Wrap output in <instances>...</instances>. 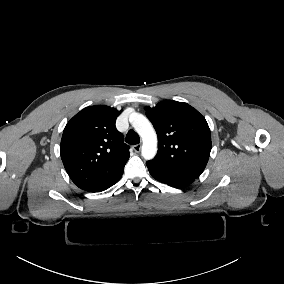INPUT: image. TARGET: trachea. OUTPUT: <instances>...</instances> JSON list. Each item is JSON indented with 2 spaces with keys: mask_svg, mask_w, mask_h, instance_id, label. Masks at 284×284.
Listing matches in <instances>:
<instances>
[{
  "mask_svg": "<svg viewBox=\"0 0 284 284\" xmlns=\"http://www.w3.org/2000/svg\"><path fill=\"white\" fill-rule=\"evenodd\" d=\"M126 142L130 145H135L140 142L139 135L134 130H129L126 134Z\"/></svg>",
  "mask_w": 284,
  "mask_h": 284,
  "instance_id": "3493384b",
  "label": "trachea"
}]
</instances>
